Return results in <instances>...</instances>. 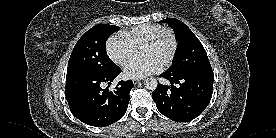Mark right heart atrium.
I'll return each mask as SVG.
<instances>
[{
	"mask_svg": "<svg viewBox=\"0 0 276 138\" xmlns=\"http://www.w3.org/2000/svg\"><path fill=\"white\" fill-rule=\"evenodd\" d=\"M109 58L119 66H124L133 58L135 48L122 35H112L106 42Z\"/></svg>",
	"mask_w": 276,
	"mask_h": 138,
	"instance_id": "1",
	"label": "right heart atrium"
}]
</instances>
